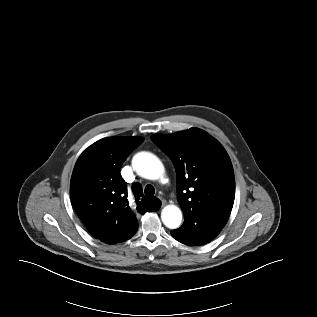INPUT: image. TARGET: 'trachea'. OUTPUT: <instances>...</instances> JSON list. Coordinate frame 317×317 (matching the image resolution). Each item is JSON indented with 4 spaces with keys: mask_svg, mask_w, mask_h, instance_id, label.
<instances>
[{
    "mask_svg": "<svg viewBox=\"0 0 317 317\" xmlns=\"http://www.w3.org/2000/svg\"><path fill=\"white\" fill-rule=\"evenodd\" d=\"M144 192L146 196H153L155 194V189L152 185H147Z\"/></svg>",
    "mask_w": 317,
    "mask_h": 317,
    "instance_id": "1",
    "label": "trachea"
}]
</instances>
